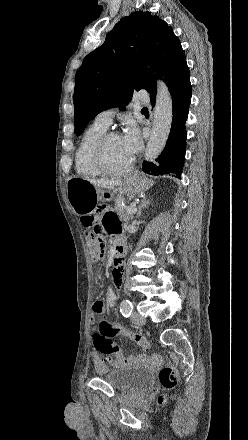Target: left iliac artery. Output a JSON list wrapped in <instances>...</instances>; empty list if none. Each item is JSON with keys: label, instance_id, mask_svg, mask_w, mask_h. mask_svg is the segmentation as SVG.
Returning <instances> with one entry per match:
<instances>
[{"label": "left iliac artery", "instance_id": "obj_1", "mask_svg": "<svg viewBox=\"0 0 248 440\" xmlns=\"http://www.w3.org/2000/svg\"><path fill=\"white\" fill-rule=\"evenodd\" d=\"M133 305L129 300H123L120 306V312L124 317H129L132 313Z\"/></svg>", "mask_w": 248, "mask_h": 440}]
</instances>
